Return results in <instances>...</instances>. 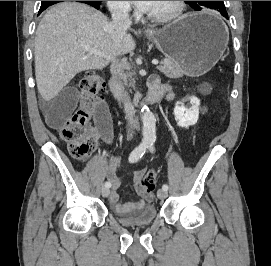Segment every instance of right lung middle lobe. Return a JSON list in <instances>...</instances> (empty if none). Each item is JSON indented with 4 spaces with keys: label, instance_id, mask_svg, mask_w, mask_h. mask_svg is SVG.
Here are the masks:
<instances>
[{
    "label": "right lung middle lobe",
    "instance_id": "1",
    "mask_svg": "<svg viewBox=\"0 0 271 266\" xmlns=\"http://www.w3.org/2000/svg\"><path fill=\"white\" fill-rule=\"evenodd\" d=\"M58 1H42V3H41V6L42 5H47V4H55V3H57Z\"/></svg>",
    "mask_w": 271,
    "mask_h": 266
}]
</instances>
